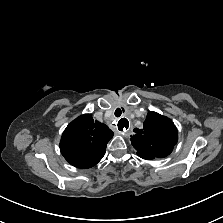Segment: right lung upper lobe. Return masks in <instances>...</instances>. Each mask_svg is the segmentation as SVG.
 <instances>
[{"instance_id": "obj_1", "label": "right lung upper lobe", "mask_w": 223, "mask_h": 223, "mask_svg": "<svg viewBox=\"0 0 223 223\" xmlns=\"http://www.w3.org/2000/svg\"><path fill=\"white\" fill-rule=\"evenodd\" d=\"M113 135L108 126L94 121L91 114H84L66 127L60 150L71 165L87 169L103 158L106 145Z\"/></svg>"}]
</instances>
